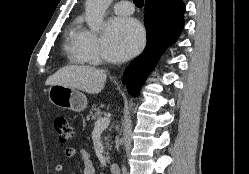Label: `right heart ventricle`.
<instances>
[{
	"label": "right heart ventricle",
	"mask_w": 249,
	"mask_h": 174,
	"mask_svg": "<svg viewBox=\"0 0 249 174\" xmlns=\"http://www.w3.org/2000/svg\"><path fill=\"white\" fill-rule=\"evenodd\" d=\"M84 29L79 20H75L68 28L66 33L65 51L69 60L74 64L91 63L80 50V41Z\"/></svg>",
	"instance_id": "right-heart-ventricle-1"
}]
</instances>
